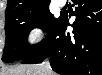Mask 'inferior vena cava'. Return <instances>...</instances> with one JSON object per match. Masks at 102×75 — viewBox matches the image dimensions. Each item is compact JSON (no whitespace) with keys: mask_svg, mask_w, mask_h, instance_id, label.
I'll use <instances>...</instances> for the list:
<instances>
[{"mask_svg":"<svg viewBox=\"0 0 102 75\" xmlns=\"http://www.w3.org/2000/svg\"><path fill=\"white\" fill-rule=\"evenodd\" d=\"M45 65H46L49 69H51V68H50V63H49V61H46V62H45Z\"/></svg>","mask_w":102,"mask_h":75,"instance_id":"602c4592","label":"inferior vena cava"}]
</instances>
